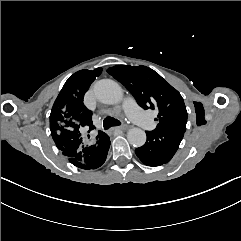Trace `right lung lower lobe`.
I'll list each match as a JSON object with an SVG mask.
<instances>
[{
  "instance_id": "98d812e1",
  "label": "right lung lower lobe",
  "mask_w": 241,
  "mask_h": 241,
  "mask_svg": "<svg viewBox=\"0 0 241 241\" xmlns=\"http://www.w3.org/2000/svg\"><path fill=\"white\" fill-rule=\"evenodd\" d=\"M109 146L110 139L106 134L102 139H98L93 144L85 146L77 153L76 157L68 158V160L81 169H96L105 162Z\"/></svg>"
}]
</instances>
